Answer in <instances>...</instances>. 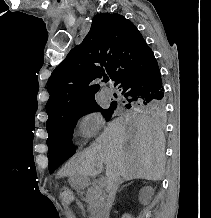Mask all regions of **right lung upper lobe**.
<instances>
[{"label":"right lung upper lobe","instance_id":"right-lung-upper-lobe-1","mask_svg":"<svg viewBox=\"0 0 211 218\" xmlns=\"http://www.w3.org/2000/svg\"><path fill=\"white\" fill-rule=\"evenodd\" d=\"M149 50L139 30L124 16L96 15L83 42L69 52L48 80L47 131L63 116L95 100L99 85L90 83L101 78L104 71L115 81Z\"/></svg>","mask_w":211,"mask_h":218}]
</instances>
